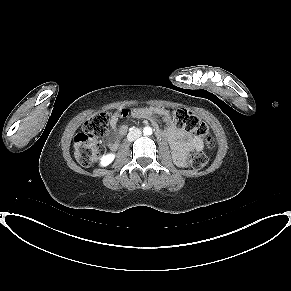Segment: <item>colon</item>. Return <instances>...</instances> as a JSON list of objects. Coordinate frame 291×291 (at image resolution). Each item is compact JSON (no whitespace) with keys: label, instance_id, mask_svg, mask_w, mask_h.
<instances>
[{"label":"colon","instance_id":"1","mask_svg":"<svg viewBox=\"0 0 291 291\" xmlns=\"http://www.w3.org/2000/svg\"><path fill=\"white\" fill-rule=\"evenodd\" d=\"M120 114L126 116L128 111L122 110ZM170 116L179 128L202 137L208 148L214 146V139L209 135L208 126L195 114L180 108L170 112ZM109 121V113L99 112L86 121L82 132L76 136L74 155L80 165L90 166L103 155L104 147L97 141V137L106 133ZM207 161L206 154L195 152L188 156L187 165L193 169H200L206 165Z\"/></svg>","mask_w":291,"mask_h":291}]
</instances>
